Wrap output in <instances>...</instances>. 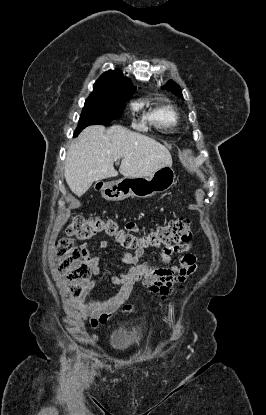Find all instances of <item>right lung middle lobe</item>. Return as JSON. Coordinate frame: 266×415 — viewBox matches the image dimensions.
Wrapping results in <instances>:
<instances>
[{
    "mask_svg": "<svg viewBox=\"0 0 266 415\" xmlns=\"http://www.w3.org/2000/svg\"><path fill=\"white\" fill-rule=\"evenodd\" d=\"M131 97V95H118L105 98L88 97L85 101L74 136H77L78 133L89 125H108L112 120L120 118L125 107V102Z\"/></svg>",
    "mask_w": 266,
    "mask_h": 415,
    "instance_id": "obj_1",
    "label": "right lung middle lobe"
}]
</instances>
